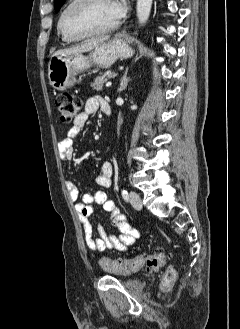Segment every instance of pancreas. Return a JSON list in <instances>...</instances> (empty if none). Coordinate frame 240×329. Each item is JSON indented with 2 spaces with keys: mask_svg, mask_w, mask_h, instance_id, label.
<instances>
[{
  "mask_svg": "<svg viewBox=\"0 0 240 329\" xmlns=\"http://www.w3.org/2000/svg\"><path fill=\"white\" fill-rule=\"evenodd\" d=\"M115 75L114 72L112 73H106L103 76H98L94 79V82L91 84V87L93 90L101 91L103 89V84L110 78H112Z\"/></svg>",
  "mask_w": 240,
  "mask_h": 329,
  "instance_id": "obj_1",
  "label": "pancreas"
}]
</instances>
